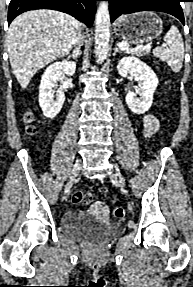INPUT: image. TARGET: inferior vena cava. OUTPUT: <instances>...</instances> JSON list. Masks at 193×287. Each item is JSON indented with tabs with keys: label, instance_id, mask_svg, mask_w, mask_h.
Wrapping results in <instances>:
<instances>
[{
	"label": "inferior vena cava",
	"instance_id": "602c4592",
	"mask_svg": "<svg viewBox=\"0 0 193 287\" xmlns=\"http://www.w3.org/2000/svg\"><path fill=\"white\" fill-rule=\"evenodd\" d=\"M83 36H82V34L79 32L78 33V36L76 37V39H75V43H77L78 45H82V43H83Z\"/></svg>",
	"mask_w": 193,
	"mask_h": 287
}]
</instances>
